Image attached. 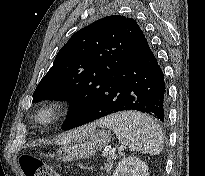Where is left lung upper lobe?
<instances>
[{
    "label": "left lung upper lobe",
    "instance_id": "obj_1",
    "mask_svg": "<svg viewBox=\"0 0 205 176\" xmlns=\"http://www.w3.org/2000/svg\"><path fill=\"white\" fill-rule=\"evenodd\" d=\"M145 38L134 19L107 16L77 31L59 50L33 94V102L70 100L64 129L74 128Z\"/></svg>",
    "mask_w": 205,
    "mask_h": 176
}]
</instances>
